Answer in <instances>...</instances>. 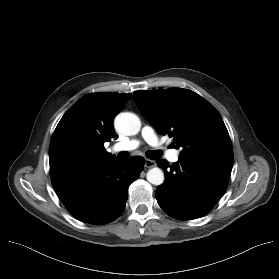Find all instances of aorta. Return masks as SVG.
Segmentation results:
<instances>
[{
  "label": "aorta",
  "instance_id": "1",
  "mask_svg": "<svg viewBox=\"0 0 279 279\" xmlns=\"http://www.w3.org/2000/svg\"><path fill=\"white\" fill-rule=\"evenodd\" d=\"M115 128L123 135L132 136L136 135L141 128V122L137 115L130 112H123L115 118ZM147 181L153 185H161L164 182V173L158 168H152L147 172Z\"/></svg>",
  "mask_w": 279,
  "mask_h": 279
}]
</instances>
